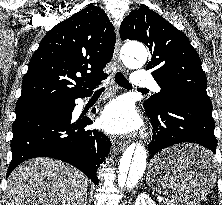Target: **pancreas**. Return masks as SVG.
Returning a JSON list of instances; mask_svg holds the SVG:
<instances>
[{"label": "pancreas", "instance_id": "pancreas-1", "mask_svg": "<svg viewBox=\"0 0 222 205\" xmlns=\"http://www.w3.org/2000/svg\"><path fill=\"white\" fill-rule=\"evenodd\" d=\"M161 205H177V204L175 202H173V201L165 199V200H163Z\"/></svg>", "mask_w": 222, "mask_h": 205}]
</instances>
